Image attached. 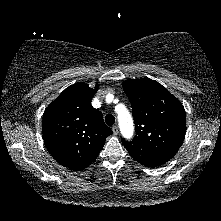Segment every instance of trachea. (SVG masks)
Returning a JSON list of instances; mask_svg holds the SVG:
<instances>
[{
	"label": "trachea",
	"instance_id": "3493384b",
	"mask_svg": "<svg viewBox=\"0 0 221 221\" xmlns=\"http://www.w3.org/2000/svg\"><path fill=\"white\" fill-rule=\"evenodd\" d=\"M105 122L108 126H112L115 122V117L112 114H107L105 117Z\"/></svg>",
	"mask_w": 221,
	"mask_h": 221
}]
</instances>
